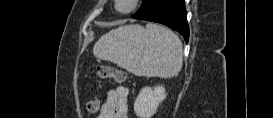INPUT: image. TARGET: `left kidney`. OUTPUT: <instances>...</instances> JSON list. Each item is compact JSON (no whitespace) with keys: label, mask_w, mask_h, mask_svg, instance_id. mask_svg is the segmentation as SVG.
Segmentation results:
<instances>
[{"label":"left kidney","mask_w":273,"mask_h":118,"mask_svg":"<svg viewBox=\"0 0 273 118\" xmlns=\"http://www.w3.org/2000/svg\"><path fill=\"white\" fill-rule=\"evenodd\" d=\"M165 88H142L134 103V111L139 118H151L157 111L159 104L166 98Z\"/></svg>","instance_id":"left-kidney-1"}]
</instances>
